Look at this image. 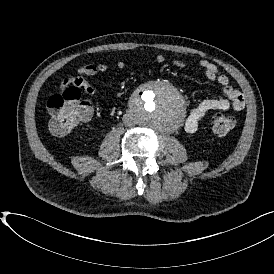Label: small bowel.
<instances>
[{
	"instance_id": "c3829d8e",
	"label": "small bowel",
	"mask_w": 274,
	"mask_h": 274,
	"mask_svg": "<svg viewBox=\"0 0 274 274\" xmlns=\"http://www.w3.org/2000/svg\"><path fill=\"white\" fill-rule=\"evenodd\" d=\"M155 61L158 64H163L166 62V57L159 54L155 57ZM172 64L178 68L187 67V64L181 60H173ZM199 66L207 79L215 81L222 86L224 97L205 99L190 111L184 125V129L188 134H194L198 130L201 120L211 111H241L245 107L243 94L238 89L231 86L228 76L221 73L213 62L201 60ZM116 67L119 70H124L126 69L127 64L125 61L119 60L116 63ZM108 69V65L104 62L98 64L86 63L78 69L77 75L74 78L63 79L60 82L59 87L61 90H64L69 86H74L78 90H82L85 94L94 96L97 94V89L89 83L85 77L103 74L107 72Z\"/></svg>"
}]
</instances>
